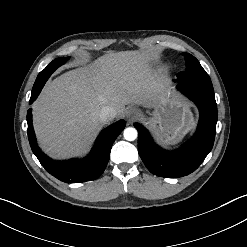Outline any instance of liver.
<instances>
[{
    "instance_id": "6515ba94",
    "label": "liver",
    "mask_w": 247,
    "mask_h": 247,
    "mask_svg": "<svg viewBox=\"0 0 247 247\" xmlns=\"http://www.w3.org/2000/svg\"><path fill=\"white\" fill-rule=\"evenodd\" d=\"M148 51L109 53L48 83L33 103V124L41 148L53 158L84 153L102 127L103 107L124 115L125 105H154L169 87L152 69Z\"/></svg>"
}]
</instances>
